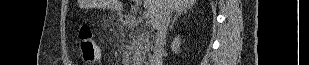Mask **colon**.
I'll return each instance as SVG.
<instances>
[{
	"label": "colon",
	"mask_w": 309,
	"mask_h": 65,
	"mask_svg": "<svg viewBox=\"0 0 309 65\" xmlns=\"http://www.w3.org/2000/svg\"><path fill=\"white\" fill-rule=\"evenodd\" d=\"M79 43L83 61L91 64L99 60L98 46L94 40L91 29L88 26L81 27L79 31Z\"/></svg>",
	"instance_id": "obj_1"
}]
</instances>
